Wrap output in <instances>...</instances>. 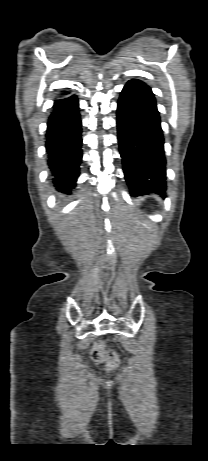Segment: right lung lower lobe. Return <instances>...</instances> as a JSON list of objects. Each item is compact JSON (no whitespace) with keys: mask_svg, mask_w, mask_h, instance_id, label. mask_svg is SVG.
<instances>
[{"mask_svg":"<svg viewBox=\"0 0 208 461\" xmlns=\"http://www.w3.org/2000/svg\"><path fill=\"white\" fill-rule=\"evenodd\" d=\"M81 119L75 95L57 99L47 123L46 154L60 192L70 193L82 160Z\"/></svg>","mask_w":208,"mask_h":461,"instance_id":"right-lung-lower-lobe-1","label":"right lung lower lobe"}]
</instances>
